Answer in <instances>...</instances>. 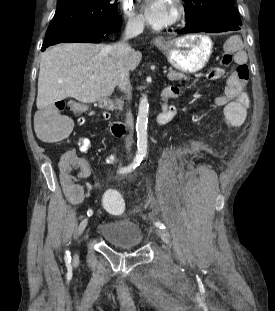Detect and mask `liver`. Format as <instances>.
Returning a JSON list of instances; mask_svg holds the SVG:
<instances>
[{
	"label": "liver",
	"mask_w": 275,
	"mask_h": 311,
	"mask_svg": "<svg viewBox=\"0 0 275 311\" xmlns=\"http://www.w3.org/2000/svg\"><path fill=\"white\" fill-rule=\"evenodd\" d=\"M141 59V52L132 49L129 70H134ZM117 85V65L109 45L60 44L41 57L36 105L41 111L68 97L94 103L109 97Z\"/></svg>",
	"instance_id": "liver-1"
}]
</instances>
